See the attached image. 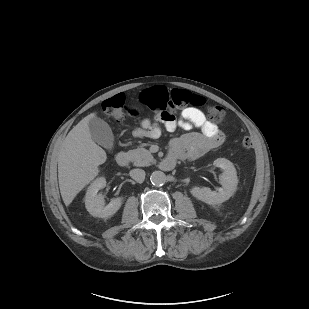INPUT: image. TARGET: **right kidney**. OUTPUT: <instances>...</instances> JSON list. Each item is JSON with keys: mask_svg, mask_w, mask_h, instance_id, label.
<instances>
[{"mask_svg": "<svg viewBox=\"0 0 309 309\" xmlns=\"http://www.w3.org/2000/svg\"><path fill=\"white\" fill-rule=\"evenodd\" d=\"M106 186V179L104 177L97 178L88 187L85 196V206L87 211L94 217L109 218L115 214L121 207L123 197L114 198L105 206L104 196L98 194L100 189Z\"/></svg>", "mask_w": 309, "mask_h": 309, "instance_id": "right-kidney-1", "label": "right kidney"}]
</instances>
